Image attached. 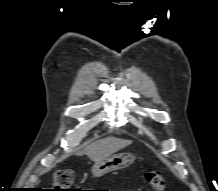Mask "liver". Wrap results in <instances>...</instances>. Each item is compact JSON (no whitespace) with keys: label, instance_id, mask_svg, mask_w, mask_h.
I'll use <instances>...</instances> for the list:
<instances>
[{"label":"liver","instance_id":"obj_1","mask_svg":"<svg viewBox=\"0 0 218 191\" xmlns=\"http://www.w3.org/2000/svg\"><path fill=\"white\" fill-rule=\"evenodd\" d=\"M130 144H132L131 140L107 137L90 144L77 155L86 154L92 161L99 162Z\"/></svg>","mask_w":218,"mask_h":191}]
</instances>
